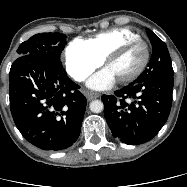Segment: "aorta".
Wrapping results in <instances>:
<instances>
[{"label":"aorta","mask_w":187,"mask_h":187,"mask_svg":"<svg viewBox=\"0 0 187 187\" xmlns=\"http://www.w3.org/2000/svg\"><path fill=\"white\" fill-rule=\"evenodd\" d=\"M90 110L93 112V113H100L103 111L104 109V105H103V102L101 100H93L91 103H90V106H89Z\"/></svg>","instance_id":"762f6f07"}]
</instances>
